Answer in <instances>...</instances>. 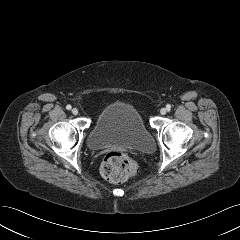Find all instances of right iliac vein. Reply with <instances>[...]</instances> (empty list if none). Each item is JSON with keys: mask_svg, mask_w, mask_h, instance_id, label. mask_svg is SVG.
Returning a JSON list of instances; mask_svg holds the SVG:
<instances>
[{"mask_svg": "<svg viewBox=\"0 0 240 240\" xmlns=\"http://www.w3.org/2000/svg\"><path fill=\"white\" fill-rule=\"evenodd\" d=\"M72 114L73 115H77L78 114V109L77 108H73L72 109Z\"/></svg>", "mask_w": 240, "mask_h": 240, "instance_id": "1", "label": "right iliac vein"}]
</instances>
